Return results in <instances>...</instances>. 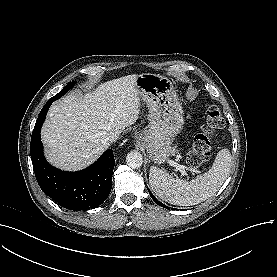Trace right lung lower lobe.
Returning a JSON list of instances; mask_svg holds the SVG:
<instances>
[{"mask_svg": "<svg viewBox=\"0 0 277 277\" xmlns=\"http://www.w3.org/2000/svg\"><path fill=\"white\" fill-rule=\"evenodd\" d=\"M42 108L32 132L30 152L34 173L42 191L59 205L70 210H89L98 207L111 191L114 156L112 149L91 166L78 172H66L51 166L43 155L41 127L52 104Z\"/></svg>", "mask_w": 277, "mask_h": 277, "instance_id": "right-lung-lower-lobe-1", "label": "right lung lower lobe"}]
</instances>
